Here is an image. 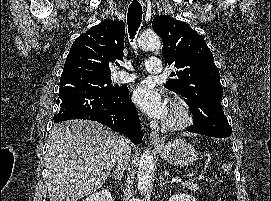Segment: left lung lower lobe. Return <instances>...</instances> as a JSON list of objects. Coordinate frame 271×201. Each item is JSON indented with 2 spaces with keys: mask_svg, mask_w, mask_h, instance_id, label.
<instances>
[{
  "mask_svg": "<svg viewBox=\"0 0 271 201\" xmlns=\"http://www.w3.org/2000/svg\"><path fill=\"white\" fill-rule=\"evenodd\" d=\"M186 130H187L188 132L202 134V130L199 129V128L189 127V128H186Z\"/></svg>",
  "mask_w": 271,
  "mask_h": 201,
  "instance_id": "left-lung-lower-lobe-1",
  "label": "left lung lower lobe"
}]
</instances>
